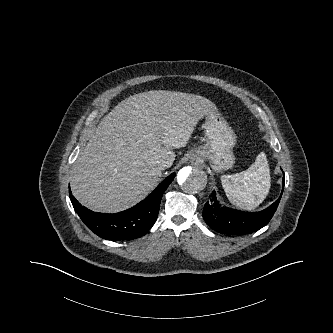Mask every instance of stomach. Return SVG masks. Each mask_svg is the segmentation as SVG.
Wrapping results in <instances>:
<instances>
[{"label": "stomach", "mask_w": 333, "mask_h": 333, "mask_svg": "<svg viewBox=\"0 0 333 333\" xmlns=\"http://www.w3.org/2000/svg\"><path fill=\"white\" fill-rule=\"evenodd\" d=\"M204 124L206 144L200 146L191 159H208L212 169L216 172L232 168L234 164L233 147L236 144V136L227 122L215 113H208Z\"/></svg>", "instance_id": "obj_1"}]
</instances>
